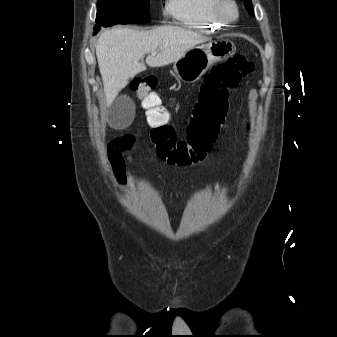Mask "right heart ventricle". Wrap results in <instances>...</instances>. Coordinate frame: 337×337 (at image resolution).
<instances>
[{
  "label": "right heart ventricle",
  "mask_w": 337,
  "mask_h": 337,
  "mask_svg": "<svg viewBox=\"0 0 337 337\" xmlns=\"http://www.w3.org/2000/svg\"><path fill=\"white\" fill-rule=\"evenodd\" d=\"M218 0H167L166 13L180 25L210 32L228 25L216 13Z\"/></svg>",
  "instance_id": "1"
}]
</instances>
